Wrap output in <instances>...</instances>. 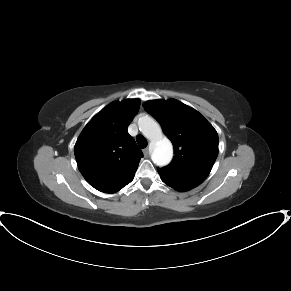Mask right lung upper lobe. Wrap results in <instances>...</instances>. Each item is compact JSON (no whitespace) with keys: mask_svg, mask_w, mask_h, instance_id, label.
<instances>
[{"mask_svg":"<svg viewBox=\"0 0 291 291\" xmlns=\"http://www.w3.org/2000/svg\"><path fill=\"white\" fill-rule=\"evenodd\" d=\"M139 107L138 99L108 104L77 139L74 153L78 168L86 181L101 192L115 193L134 178L143 153L127 128Z\"/></svg>","mask_w":291,"mask_h":291,"instance_id":"cb5924a9","label":"right lung upper lobe"}]
</instances>
